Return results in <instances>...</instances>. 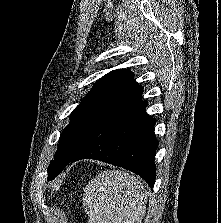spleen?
<instances>
[{"instance_id": "spleen-1", "label": "spleen", "mask_w": 221, "mask_h": 223, "mask_svg": "<svg viewBox=\"0 0 221 223\" xmlns=\"http://www.w3.org/2000/svg\"><path fill=\"white\" fill-rule=\"evenodd\" d=\"M146 202L145 186L135 176L119 170L98 174L83 194L88 223H141Z\"/></svg>"}]
</instances>
